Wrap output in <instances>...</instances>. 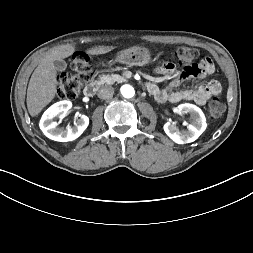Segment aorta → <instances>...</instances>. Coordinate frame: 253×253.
<instances>
[{
  "label": "aorta",
  "instance_id": "762f6f07",
  "mask_svg": "<svg viewBox=\"0 0 253 253\" xmlns=\"http://www.w3.org/2000/svg\"><path fill=\"white\" fill-rule=\"evenodd\" d=\"M120 90H121V94L125 98H132L135 94L134 88L128 84L123 85Z\"/></svg>",
  "mask_w": 253,
  "mask_h": 253
}]
</instances>
